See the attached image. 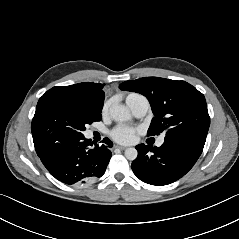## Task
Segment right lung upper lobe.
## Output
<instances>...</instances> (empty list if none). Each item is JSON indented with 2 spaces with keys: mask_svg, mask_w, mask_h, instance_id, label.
<instances>
[{
  "mask_svg": "<svg viewBox=\"0 0 239 239\" xmlns=\"http://www.w3.org/2000/svg\"><path fill=\"white\" fill-rule=\"evenodd\" d=\"M104 84L100 83H78L70 86H63V87H53L57 89L68 90L74 93H77L82 96L90 97L99 104L103 105L104 101V91L103 89Z\"/></svg>",
  "mask_w": 239,
  "mask_h": 239,
  "instance_id": "1",
  "label": "right lung upper lobe"
}]
</instances>
